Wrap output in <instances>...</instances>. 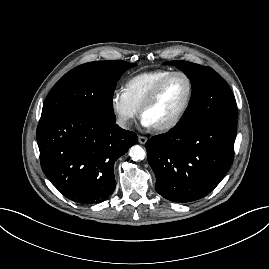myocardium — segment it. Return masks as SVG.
I'll return each mask as SVG.
<instances>
[{
    "mask_svg": "<svg viewBox=\"0 0 269 269\" xmlns=\"http://www.w3.org/2000/svg\"><path fill=\"white\" fill-rule=\"evenodd\" d=\"M174 76H182L186 79L187 83H188V95H187V99L183 105V107L181 108V110L169 121L163 123V124H159V125H155L152 126L156 131H168L173 129L174 127H176L181 120L184 118L185 114L187 113L191 102L193 100V96H194V84L192 79L190 78V76L183 72V71H174L169 73L168 75H166L164 78H162L153 88V90L151 91V93L149 94V96L146 98V100L144 101V103L142 104V106L139 109L140 112V116L143 118L145 112L155 103V101L157 100L163 86L166 84V82L171 79Z\"/></svg>",
    "mask_w": 269,
    "mask_h": 269,
    "instance_id": "obj_1",
    "label": "myocardium"
}]
</instances>
